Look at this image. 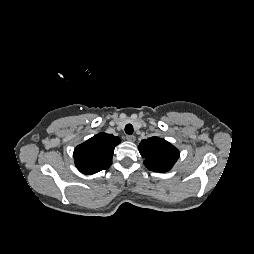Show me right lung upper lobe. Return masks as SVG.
Segmentation results:
<instances>
[{
    "label": "right lung upper lobe",
    "instance_id": "obj_1",
    "mask_svg": "<svg viewBox=\"0 0 254 254\" xmlns=\"http://www.w3.org/2000/svg\"><path fill=\"white\" fill-rule=\"evenodd\" d=\"M121 142L111 134L99 133L74 150L76 167L83 174H94L107 169L112 164L114 148Z\"/></svg>",
    "mask_w": 254,
    "mask_h": 254
}]
</instances>
